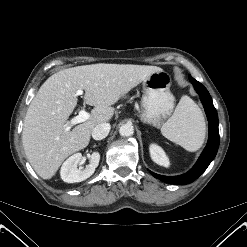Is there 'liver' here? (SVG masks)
Wrapping results in <instances>:
<instances>
[{
    "mask_svg": "<svg viewBox=\"0 0 247 247\" xmlns=\"http://www.w3.org/2000/svg\"><path fill=\"white\" fill-rule=\"evenodd\" d=\"M157 66L92 64L61 70L40 87L27 110L22 142L26 157L43 179L52 178L62 162L84 149L93 128L111 120L112 107L122 96L143 82ZM77 90L84 102L94 106L90 118L66 131V123L77 105Z\"/></svg>",
    "mask_w": 247,
    "mask_h": 247,
    "instance_id": "1",
    "label": "liver"
}]
</instances>
